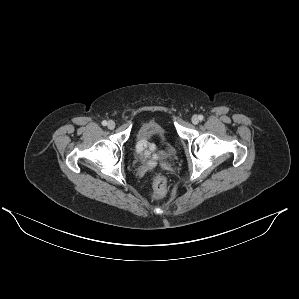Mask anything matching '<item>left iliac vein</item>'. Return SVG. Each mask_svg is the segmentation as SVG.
<instances>
[{"label":"left iliac vein","instance_id":"obj_1","mask_svg":"<svg viewBox=\"0 0 299 299\" xmlns=\"http://www.w3.org/2000/svg\"><path fill=\"white\" fill-rule=\"evenodd\" d=\"M191 120H192L193 124H198L199 123V118H198L197 115H194Z\"/></svg>","mask_w":299,"mask_h":299}]
</instances>
